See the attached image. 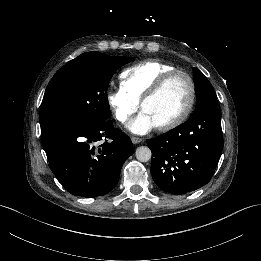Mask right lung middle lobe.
<instances>
[{"label":"right lung middle lobe","instance_id":"obj_1","mask_svg":"<svg viewBox=\"0 0 261 261\" xmlns=\"http://www.w3.org/2000/svg\"><path fill=\"white\" fill-rule=\"evenodd\" d=\"M133 60L88 52L66 63L46 88L39 116L41 136L60 124L107 120L109 81L118 68Z\"/></svg>","mask_w":261,"mask_h":261}]
</instances>
